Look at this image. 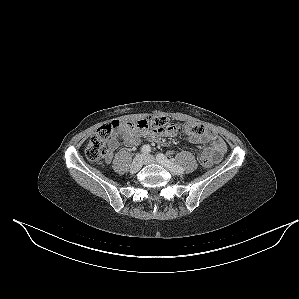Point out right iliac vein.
<instances>
[{"mask_svg":"<svg viewBox=\"0 0 299 299\" xmlns=\"http://www.w3.org/2000/svg\"><path fill=\"white\" fill-rule=\"evenodd\" d=\"M143 164H144L143 155H137L131 164L130 172L133 174L138 172L141 169Z\"/></svg>","mask_w":299,"mask_h":299,"instance_id":"obj_1","label":"right iliac vein"}]
</instances>
